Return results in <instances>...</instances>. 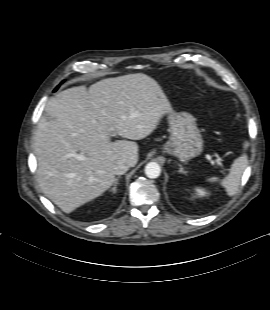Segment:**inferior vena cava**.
<instances>
[{
	"label": "inferior vena cava",
	"instance_id": "602c4592",
	"mask_svg": "<svg viewBox=\"0 0 270 310\" xmlns=\"http://www.w3.org/2000/svg\"><path fill=\"white\" fill-rule=\"evenodd\" d=\"M130 164L126 160H120L114 165V173L116 175H122L128 171Z\"/></svg>",
	"mask_w": 270,
	"mask_h": 310
}]
</instances>
